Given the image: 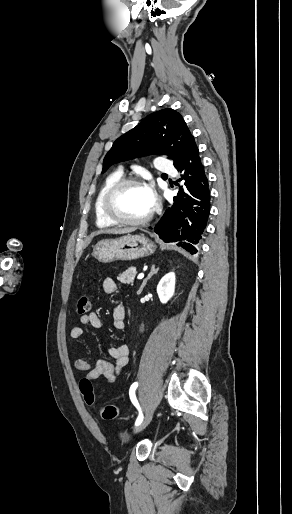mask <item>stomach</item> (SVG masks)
Segmentation results:
<instances>
[{"mask_svg": "<svg viewBox=\"0 0 292 514\" xmlns=\"http://www.w3.org/2000/svg\"><path fill=\"white\" fill-rule=\"evenodd\" d=\"M156 246L145 236H122L115 240H101L94 248V256L103 264L116 260H138L154 254Z\"/></svg>", "mask_w": 292, "mask_h": 514, "instance_id": "1", "label": "stomach"}]
</instances>
